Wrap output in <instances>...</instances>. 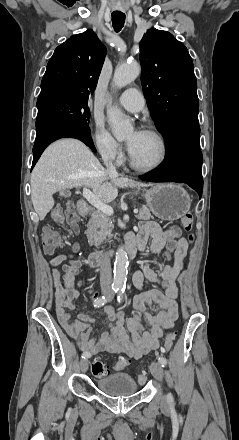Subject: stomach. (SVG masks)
<instances>
[{
  "label": "stomach",
  "mask_w": 239,
  "mask_h": 440,
  "mask_svg": "<svg viewBox=\"0 0 239 440\" xmlns=\"http://www.w3.org/2000/svg\"><path fill=\"white\" fill-rule=\"evenodd\" d=\"M144 198L152 214L160 220H179L190 210L191 200L184 188L176 184H156L145 190Z\"/></svg>",
  "instance_id": "obj_1"
}]
</instances>
